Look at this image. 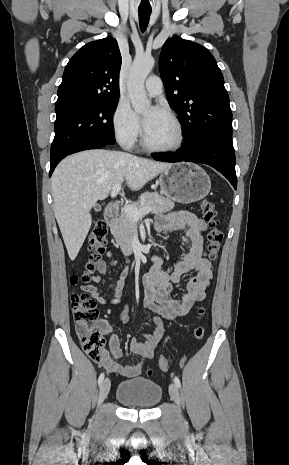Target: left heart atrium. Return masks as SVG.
I'll list each match as a JSON object with an SVG mask.
<instances>
[{
  "mask_svg": "<svg viewBox=\"0 0 289 465\" xmlns=\"http://www.w3.org/2000/svg\"><path fill=\"white\" fill-rule=\"evenodd\" d=\"M161 109L158 107H153L149 110V113L144 117L143 126L144 129L148 128L155 118L159 115Z\"/></svg>",
  "mask_w": 289,
  "mask_h": 465,
  "instance_id": "obj_1",
  "label": "left heart atrium"
}]
</instances>
